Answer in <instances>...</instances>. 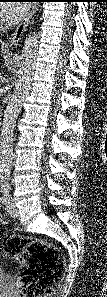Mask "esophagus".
I'll use <instances>...</instances> for the list:
<instances>
[{
    "label": "esophagus",
    "instance_id": "34e87169",
    "mask_svg": "<svg viewBox=\"0 0 107 297\" xmlns=\"http://www.w3.org/2000/svg\"><path fill=\"white\" fill-rule=\"evenodd\" d=\"M35 10H36V5L32 4L31 10H30L29 14L27 15V17L25 18V20L19 24V26L16 28V30L9 37V39L7 41V46L12 47L19 43V41L21 40L23 34L25 33V31L30 23V20H31L33 14L35 13Z\"/></svg>",
    "mask_w": 107,
    "mask_h": 297
}]
</instances>
